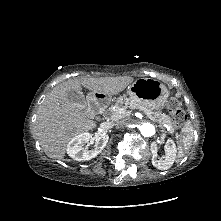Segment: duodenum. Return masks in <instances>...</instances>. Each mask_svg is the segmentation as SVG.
<instances>
[{"label":"duodenum","instance_id":"1","mask_svg":"<svg viewBox=\"0 0 221 221\" xmlns=\"http://www.w3.org/2000/svg\"><path fill=\"white\" fill-rule=\"evenodd\" d=\"M106 101V95L105 94H99L97 96L95 95H90L87 98V103L89 106H95L96 104L100 103V102H104Z\"/></svg>","mask_w":221,"mask_h":221}]
</instances>
